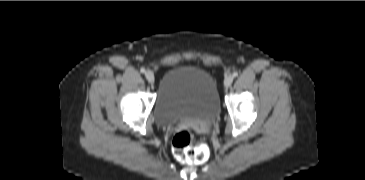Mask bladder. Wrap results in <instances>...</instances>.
Instances as JSON below:
<instances>
[{
	"mask_svg": "<svg viewBox=\"0 0 365 180\" xmlns=\"http://www.w3.org/2000/svg\"><path fill=\"white\" fill-rule=\"evenodd\" d=\"M219 111L218 87L208 71L191 65H178L162 75L153 111L160 125L184 120L208 121Z\"/></svg>",
	"mask_w": 365,
	"mask_h": 180,
	"instance_id": "bladder-1",
	"label": "bladder"
}]
</instances>
